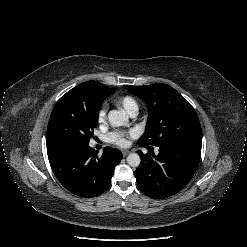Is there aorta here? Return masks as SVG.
<instances>
[{
  "instance_id": "762f6f07",
  "label": "aorta",
  "mask_w": 247,
  "mask_h": 247,
  "mask_svg": "<svg viewBox=\"0 0 247 247\" xmlns=\"http://www.w3.org/2000/svg\"><path fill=\"white\" fill-rule=\"evenodd\" d=\"M108 119L112 126L118 127L125 125L128 122V116L124 111L111 110L108 113ZM141 162L140 156L137 153H131L127 156V163L131 167H138Z\"/></svg>"
}]
</instances>
